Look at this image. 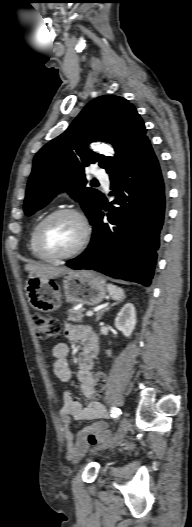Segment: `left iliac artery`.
<instances>
[{"label": "left iliac artery", "mask_w": 192, "mask_h": 527, "mask_svg": "<svg viewBox=\"0 0 192 527\" xmlns=\"http://www.w3.org/2000/svg\"><path fill=\"white\" fill-rule=\"evenodd\" d=\"M120 415H121V411H120L119 408H117V407H112L111 408V416L112 417L119 418Z\"/></svg>", "instance_id": "1"}]
</instances>
